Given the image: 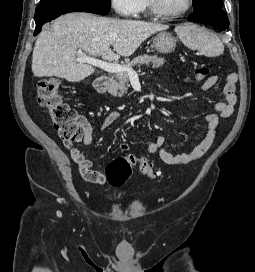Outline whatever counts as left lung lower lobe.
Returning <instances> with one entry per match:
<instances>
[{
	"label": "left lung lower lobe",
	"instance_id": "left-lung-lower-lobe-1",
	"mask_svg": "<svg viewBox=\"0 0 255 272\" xmlns=\"http://www.w3.org/2000/svg\"><path fill=\"white\" fill-rule=\"evenodd\" d=\"M188 21L209 24L220 30H225L229 26L226 13L222 10V7L217 5H208L195 10L194 13L188 17Z\"/></svg>",
	"mask_w": 255,
	"mask_h": 272
}]
</instances>
